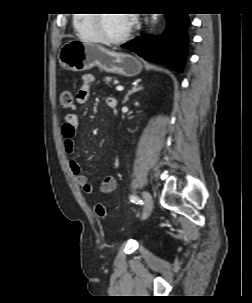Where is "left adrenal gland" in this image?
Segmentation results:
<instances>
[{
    "label": "left adrenal gland",
    "mask_w": 252,
    "mask_h": 303,
    "mask_svg": "<svg viewBox=\"0 0 252 303\" xmlns=\"http://www.w3.org/2000/svg\"><path fill=\"white\" fill-rule=\"evenodd\" d=\"M143 89V86L142 85H139V84H135L132 89L130 91H128V93L126 94L125 98H124V101L123 103H126L129 99V96L133 93H136L138 91H141Z\"/></svg>",
    "instance_id": "1"
}]
</instances>
